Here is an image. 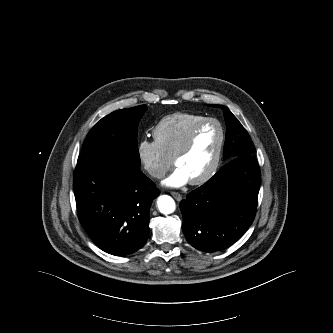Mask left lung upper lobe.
<instances>
[{"instance_id": "1", "label": "left lung upper lobe", "mask_w": 333, "mask_h": 333, "mask_svg": "<svg viewBox=\"0 0 333 333\" xmlns=\"http://www.w3.org/2000/svg\"><path fill=\"white\" fill-rule=\"evenodd\" d=\"M223 110L227 125L226 141L224 145V157L231 160L243 155H253L255 147L249 138L247 131L231 113V111L222 105H214Z\"/></svg>"}]
</instances>
